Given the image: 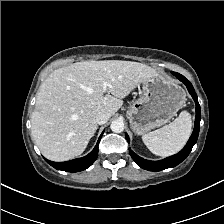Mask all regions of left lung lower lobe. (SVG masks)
I'll return each mask as SVG.
<instances>
[{
  "label": "left lung lower lobe",
  "instance_id": "1",
  "mask_svg": "<svg viewBox=\"0 0 224 224\" xmlns=\"http://www.w3.org/2000/svg\"><path fill=\"white\" fill-rule=\"evenodd\" d=\"M174 75L180 80L182 81L189 93L192 95L195 104H196V117H195V127L193 130V133L190 137V139L188 140L186 146L177 154L168 157L166 159L160 160V161H149L146 159H143L141 157H139L137 154H135L132 150L129 149V153L132 157V159L143 169L149 170V171H160L166 168H171V167H175L176 165H178L179 163H181L191 152L193 146L195 145L198 135H199V129H200V120H201V111H200V105L198 103V98L197 95L195 93V90L192 86V84L181 74L179 73H174ZM126 139L129 142V137L126 134Z\"/></svg>",
  "mask_w": 224,
  "mask_h": 224
}]
</instances>
